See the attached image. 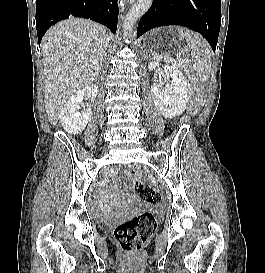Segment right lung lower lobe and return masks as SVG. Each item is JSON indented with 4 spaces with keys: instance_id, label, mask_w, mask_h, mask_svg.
Here are the masks:
<instances>
[{
    "instance_id": "obj_1",
    "label": "right lung lower lobe",
    "mask_w": 265,
    "mask_h": 273,
    "mask_svg": "<svg viewBox=\"0 0 265 273\" xmlns=\"http://www.w3.org/2000/svg\"><path fill=\"white\" fill-rule=\"evenodd\" d=\"M118 14L117 0H37L38 42H41L49 27L70 17L91 19L116 33Z\"/></svg>"
}]
</instances>
